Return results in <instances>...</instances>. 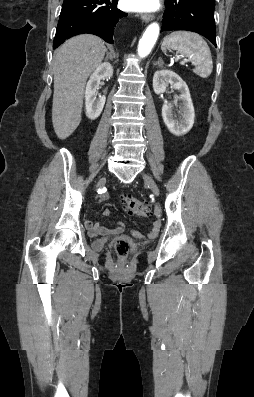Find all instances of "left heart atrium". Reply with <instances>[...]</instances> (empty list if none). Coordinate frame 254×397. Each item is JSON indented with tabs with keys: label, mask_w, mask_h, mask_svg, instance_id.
Masks as SVG:
<instances>
[{
	"label": "left heart atrium",
	"mask_w": 254,
	"mask_h": 397,
	"mask_svg": "<svg viewBox=\"0 0 254 397\" xmlns=\"http://www.w3.org/2000/svg\"><path fill=\"white\" fill-rule=\"evenodd\" d=\"M158 0H126V5L134 11H150L158 7Z\"/></svg>",
	"instance_id": "1"
}]
</instances>
